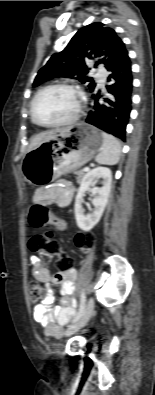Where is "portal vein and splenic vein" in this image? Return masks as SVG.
Segmentation results:
<instances>
[{
  "instance_id": "obj_1",
  "label": "portal vein and splenic vein",
  "mask_w": 155,
  "mask_h": 395,
  "mask_svg": "<svg viewBox=\"0 0 155 395\" xmlns=\"http://www.w3.org/2000/svg\"><path fill=\"white\" fill-rule=\"evenodd\" d=\"M89 170V168L88 167H85V168H83V171H88Z\"/></svg>"
}]
</instances>
